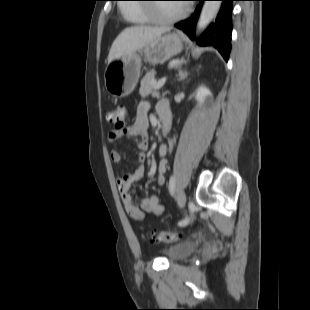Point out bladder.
I'll return each mask as SVG.
<instances>
[{
    "label": "bladder",
    "mask_w": 310,
    "mask_h": 310,
    "mask_svg": "<svg viewBox=\"0 0 310 310\" xmlns=\"http://www.w3.org/2000/svg\"><path fill=\"white\" fill-rule=\"evenodd\" d=\"M195 248L193 242H181L170 245L164 249V254L168 260L178 261L189 256Z\"/></svg>",
    "instance_id": "1"
}]
</instances>
